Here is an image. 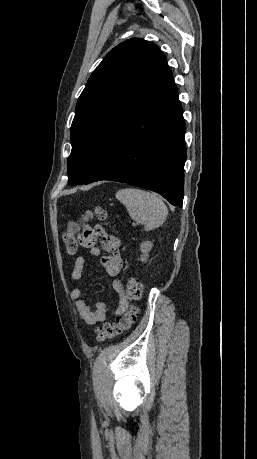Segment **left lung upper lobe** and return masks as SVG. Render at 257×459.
Instances as JSON below:
<instances>
[{
    "label": "left lung upper lobe",
    "instance_id": "obj_1",
    "mask_svg": "<svg viewBox=\"0 0 257 459\" xmlns=\"http://www.w3.org/2000/svg\"><path fill=\"white\" fill-rule=\"evenodd\" d=\"M166 62L157 45L132 38L113 48L90 76L71 125L68 183L93 182L109 156L117 125Z\"/></svg>",
    "mask_w": 257,
    "mask_h": 459
}]
</instances>
